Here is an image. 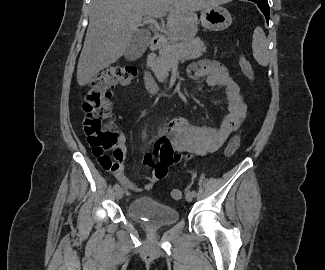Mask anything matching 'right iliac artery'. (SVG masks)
<instances>
[{
  "label": "right iliac artery",
  "mask_w": 325,
  "mask_h": 270,
  "mask_svg": "<svg viewBox=\"0 0 325 270\" xmlns=\"http://www.w3.org/2000/svg\"><path fill=\"white\" fill-rule=\"evenodd\" d=\"M113 188H114L115 190H117L118 188H120V185L117 183V184H115V185L113 186Z\"/></svg>",
  "instance_id": "1"
}]
</instances>
